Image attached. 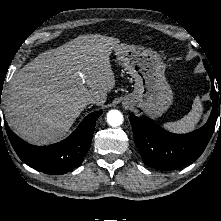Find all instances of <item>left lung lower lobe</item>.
Returning a JSON list of instances; mask_svg holds the SVG:
<instances>
[{
  "label": "left lung lower lobe",
  "mask_w": 221,
  "mask_h": 221,
  "mask_svg": "<svg viewBox=\"0 0 221 221\" xmlns=\"http://www.w3.org/2000/svg\"><path fill=\"white\" fill-rule=\"evenodd\" d=\"M204 65L212 81L210 96L213 109L202 128L188 134H172L146 116L129 117L135 144L149 167L157 170L178 169L194 162L206 148L217 120V95L211 71L205 61ZM219 94L221 103V93Z\"/></svg>",
  "instance_id": "0a47b994"
}]
</instances>
